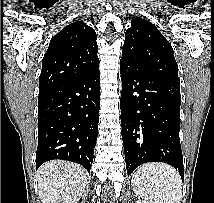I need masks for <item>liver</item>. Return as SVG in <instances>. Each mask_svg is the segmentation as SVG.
<instances>
[{
    "label": "liver",
    "mask_w": 214,
    "mask_h": 203,
    "mask_svg": "<svg viewBox=\"0 0 214 203\" xmlns=\"http://www.w3.org/2000/svg\"><path fill=\"white\" fill-rule=\"evenodd\" d=\"M37 181L42 203H76L86 187L87 173L78 164L53 160L38 169Z\"/></svg>",
    "instance_id": "liver-1"
}]
</instances>
